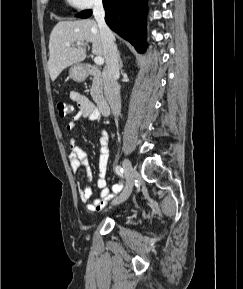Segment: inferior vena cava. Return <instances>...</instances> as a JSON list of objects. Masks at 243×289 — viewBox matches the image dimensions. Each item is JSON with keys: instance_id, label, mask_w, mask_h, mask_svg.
<instances>
[{"instance_id": "602c4592", "label": "inferior vena cava", "mask_w": 243, "mask_h": 289, "mask_svg": "<svg viewBox=\"0 0 243 289\" xmlns=\"http://www.w3.org/2000/svg\"><path fill=\"white\" fill-rule=\"evenodd\" d=\"M93 14L97 21L104 47L106 62L103 70L104 93L113 115L118 117L121 112L120 88L117 84L120 64L117 46L114 42V35L105 22V11L102 0L95 2Z\"/></svg>"}]
</instances>
